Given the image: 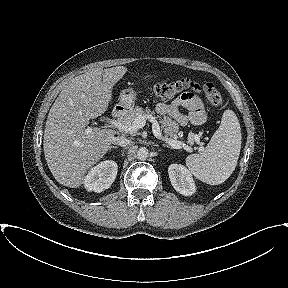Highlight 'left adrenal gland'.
<instances>
[{"instance_id":"obj_1","label":"left adrenal gland","mask_w":288,"mask_h":288,"mask_svg":"<svg viewBox=\"0 0 288 288\" xmlns=\"http://www.w3.org/2000/svg\"><path fill=\"white\" fill-rule=\"evenodd\" d=\"M163 145H164V147L170 148V146H169V145H166V144H163Z\"/></svg>"}]
</instances>
